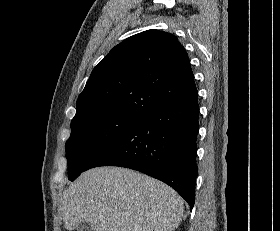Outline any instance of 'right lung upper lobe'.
<instances>
[{
	"instance_id": "cb5924a9",
	"label": "right lung upper lobe",
	"mask_w": 280,
	"mask_h": 231,
	"mask_svg": "<svg viewBox=\"0 0 280 231\" xmlns=\"http://www.w3.org/2000/svg\"><path fill=\"white\" fill-rule=\"evenodd\" d=\"M197 96L188 55L177 37L147 30L122 41L93 69L73 118H143Z\"/></svg>"
}]
</instances>
